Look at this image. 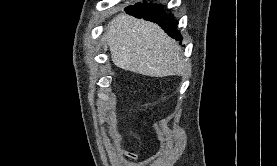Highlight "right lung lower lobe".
Masks as SVG:
<instances>
[{"label": "right lung lower lobe", "instance_id": "right-lung-lower-lobe-1", "mask_svg": "<svg viewBox=\"0 0 277 166\" xmlns=\"http://www.w3.org/2000/svg\"><path fill=\"white\" fill-rule=\"evenodd\" d=\"M126 11L138 18H143L152 22H156L162 29L172 38L182 40L180 32L176 27V20L173 15H166L163 6L157 4L136 3L134 6L126 8Z\"/></svg>", "mask_w": 277, "mask_h": 166}]
</instances>
